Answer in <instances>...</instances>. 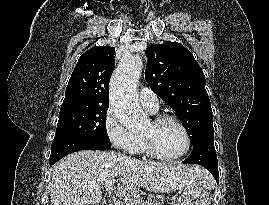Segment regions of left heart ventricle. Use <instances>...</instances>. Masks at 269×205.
Instances as JSON below:
<instances>
[{
    "label": "left heart ventricle",
    "instance_id": "obj_1",
    "mask_svg": "<svg viewBox=\"0 0 269 205\" xmlns=\"http://www.w3.org/2000/svg\"><path fill=\"white\" fill-rule=\"evenodd\" d=\"M142 134L151 137L157 150L167 156L181 153L186 146L184 133L172 122H164L158 126L149 122Z\"/></svg>",
    "mask_w": 269,
    "mask_h": 205
}]
</instances>
